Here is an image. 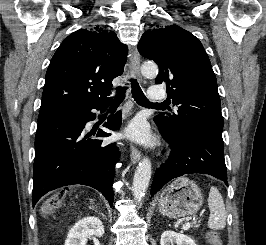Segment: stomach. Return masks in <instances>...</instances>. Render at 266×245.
<instances>
[{
    "mask_svg": "<svg viewBox=\"0 0 266 245\" xmlns=\"http://www.w3.org/2000/svg\"><path fill=\"white\" fill-rule=\"evenodd\" d=\"M158 205L161 215L178 219L197 213L203 205V195L198 185L186 177H181L164 189Z\"/></svg>",
    "mask_w": 266,
    "mask_h": 245,
    "instance_id": "obj_1",
    "label": "stomach"
}]
</instances>
